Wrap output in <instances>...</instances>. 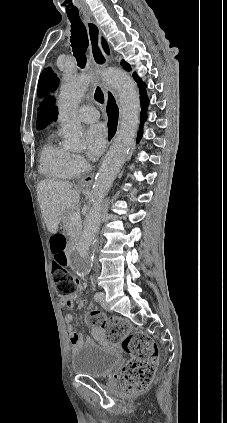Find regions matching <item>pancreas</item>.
I'll return each mask as SVG.
<instances>
[{
  "label": "pancreas",
  "instance_id": "1",
  "mask_svg": "<svg viewBox=\"0 0 227 423\" xmlns=\"http://www.w3.org/2000/svg\"><path fill=\"white\" fill-rule=\"evenodd\" d=\"M73 213H76V211L75 210H68L65 229L67 231V235H70V237H71V239H73V241H77V239H78V237L81 233L82 225H80V223H74V221H72L71 217H72Z\"/></svg>",
  "mask_w": 227,
  "mask_h": 423
}]
</instances>
